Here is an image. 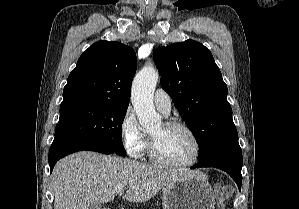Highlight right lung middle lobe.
Wrapping results in <instances>:
<instances>
[{
    "label": "right lung middle lobe",
    "mask_w": 299,
    "mask_h": 209,
    "mask_svg": "<svg viewBox=\"0 0 299 209\" xmlns=\"http://www.w3.org/2000/svg\"><path fill=\"white\" fill-rule=\"evenodd\" d=\"M127 108L101 103L61 105L55 137L101 143L124 155L121 127Z\"/></svg>",
    "instance_id": "right-lung-middle-lobe-1"
}]
</instances>
